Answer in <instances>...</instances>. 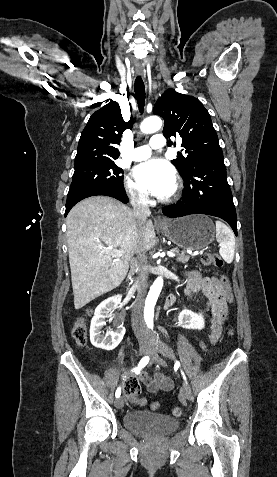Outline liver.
Returning a JSON list of instances; mask_svg holds the SVG:
<instances>
[{"label":"liver","mask_w":277,"mask_h":477,"mask_svg":"<svg viewBox=\"0 0 277 477\" xmlns=\"http://www.w3.org/2000/svg\"><path fill=\"white\" fill-rule=\"evenodd\" d=\"M66 225L75 309L118 287L133 255L155 244L152 221L139 225L132 210L106 196L76 204L67 215ZM118 247L125 254L114 260L111 253Z\"/></svg>","instance_id":"6515ba94"}]
</instances>
